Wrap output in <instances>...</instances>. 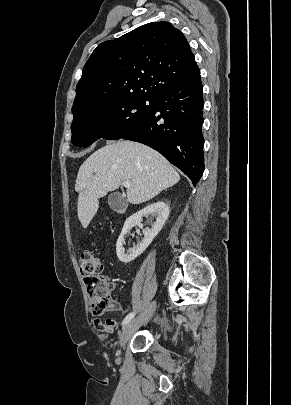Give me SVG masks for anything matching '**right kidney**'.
<instances>
[{
    "instance_id": "obj_1",
    "label": "right kidney",
    "mask_w": 291,
    "mask_h": 405,
    "mask_svg": "<svg viewBox=\"0 0 291 405\" xmlns=\"http://www.w3.org/2000/svg\"><path fill=\"white\" fill-rule=\"evenodd\" d=\"M148 214L155 217L156 221L152 225L151 229L147 228L143 230L144 233L143 240L139 242L136 246L130 248L129 250H127V252H125V248L123 247L125 235L130 229H132L136 225L142 228L143 227L141 224L142 217ZM168 216H169V207L166 203L162 201L153 203L130 216L125 221L121 234L116 243V253L118 259L123 263H129L139 255H141L146 250V248L151 244L154 237L160 232Z\"/></svg>"
}]
</instances>
